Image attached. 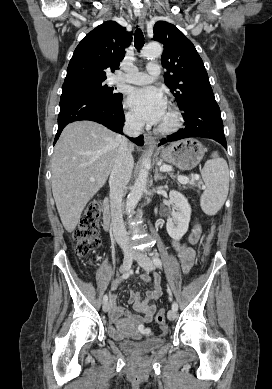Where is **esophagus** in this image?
Wrapping results in <instances>:
<instances>
[{"label":"esophagus","mask_w":272,"mask_h":389,"mask_svg":"<svg viewBox=\"0 0 272 389\" xmlns=\"http://www.w3.org/2000/svg\"><path fill=\"white\" fill-rule=\"evenodd\" d=\"M137 16H138V24H139V26L141 28H144V20H145V17H146V10L142 9V10L138 11L137 12ZM144 141H145V145L146 146H152V145L155 144L154 137H152L149 134H145L144 135Z\"/></svg>","instance_id":"obj_1"}]
</instances>
